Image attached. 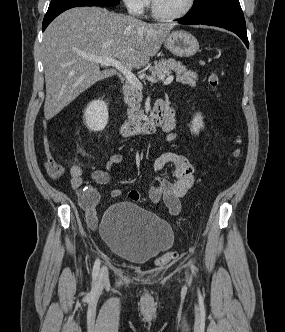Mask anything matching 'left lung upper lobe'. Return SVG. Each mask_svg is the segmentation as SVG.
Listing matches in <instances>:
<instances>
[{
    "mask_svg": "<svg viewBox=\"0 0 285 332\" xmlns=\"http://www.w3.org/2000/svg\"><path fill=\"white\" fill-rule=\"evenodd\" d=\"M241 8L238 0H194V5L188 15L205 14L209 12Z\"/></svg>",
    "mask_w": 285,
    "mask_h": 332,
    "instance_id": "obj_1",
    "label": "left lung upper lobe"
}]
</instances>
